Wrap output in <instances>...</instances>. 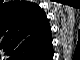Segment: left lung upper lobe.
<instances>
[{"label": "left lung upper lobe", "mask_w": 80, "mask_h": 60, "mask_svg": "<svg viewBox=\"0 0 80 60\" xmlns=\"http://www.w3.org/2000/svg\"><path fill=\"white\" fill-rule=\"evenodd\" d=\"M0 18V30L4 44L16 52L37 51L46 40L41 8L30 2H9Z\"/></svg>", "instance_id": "obj_1"}]
</instances>
